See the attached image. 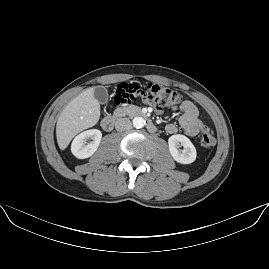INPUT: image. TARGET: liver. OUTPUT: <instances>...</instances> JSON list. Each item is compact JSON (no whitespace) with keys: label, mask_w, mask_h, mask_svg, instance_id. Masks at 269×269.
I'll list each match as a JSON object with an SVG mask.
<instances>
[{"label":"liver","mask_w":269,"mask_h":269,"mask_svg":"<svg viewBox=\"0 0 269 269\" xmlns=\"http://www.w3.org/2000/svg\"><path fill=\"white\" fill-rule=\"evenodd\" d=\"M100 118V103L94 97V88H88L75 97L61 112L56 125L59 148L64 150L75 135L94 126Z\"/></svg>","instance_id":"6515ba94"}]
</instances>
